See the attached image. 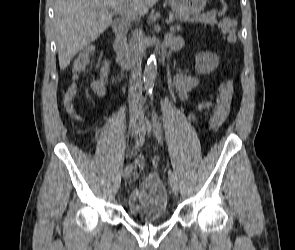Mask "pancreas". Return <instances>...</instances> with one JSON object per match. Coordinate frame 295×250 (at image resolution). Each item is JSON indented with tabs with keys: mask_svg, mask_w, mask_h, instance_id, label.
Returning a JSON list of instances; mask_svg holds the SVG:
<instances>
[{
	"mask_svg": "<svg viewBox=\"0 0 295 250\" xmlns=\"http://www.w3.org/2000/svg\"><path fill=\"white\" fill-rule=\"evenodd\" d=\"M170 16L180 21L201 22V23L210 24V25L217 24L215 11H210L207 14H203V15H195L193 17H185L177 13H170Z\"/></svg>",
	"mask_w": 295,
	"mask_h": 250,
	"instance_id": "pancreas-1",
	"label": "pancreas"
}]
</instances>
